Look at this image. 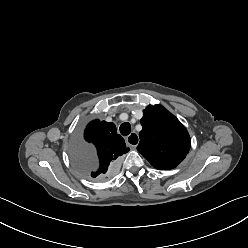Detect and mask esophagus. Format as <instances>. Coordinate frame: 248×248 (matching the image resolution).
<instances>
[{"mask_svg": "<svg viewBox=\"0 0 248 248\" xmlns=\"http://www.w3.org/2000/svg\"><path fill=\"white\" fill-rule=\"evenodd\" d=\"M139 137L138 135L133 132L131 133L127 138H126V143L131 147V148H136V146L139 143Z\"/></svg>", "mask_w": 248, "mask_h": 248, "instance_id": "obj_1", "label": "esophagus"}]
</instances>
